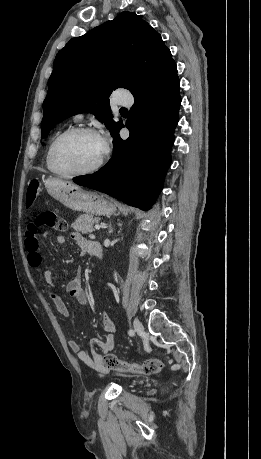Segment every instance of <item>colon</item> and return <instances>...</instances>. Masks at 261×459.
<instances>
[{
	"label": "colon",
	"instance_id": "obj_1",
	"mask_svg": "<svg viewBox=\"0 0 261 459\" xmlns=\"http://www.w3.org/2000/svg\"><path fill=\"white\" fill-rule=\"evenodd\" d=\"M40 194L41 185L39 181L32 180L27 188L26 207L31 208L35 204ZM26 225V238H35L39 231V227H50L59 231H66L68 229L67 221L57 217L51 212H42L36 218H28L26 220ZM103 366L107 369H112L120 372L153 375L163 370L164 363L159 359L146 360L141 364L131 363L120 360L116 355L108 353L103 358Z\"/></svg>",
	"mask_w": 261,
	"mask_h": 459
}]
</instances>
